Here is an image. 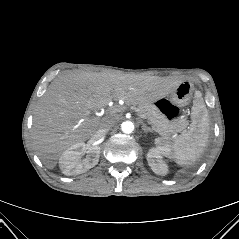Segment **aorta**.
Segmentation results:
<instances>
[{
	"mask_svg": "<svg viewBox=\"0 0 239 239\" xmlns=\"http://www.w3.org/2000/svg\"><path fill=\"white\" fill-rule=\"evenodd\" d=\"M134 123L131 121H125L121 124V130L125 134H130L134 131Z\"/></svg>",
	"mask_w": 239,
	"mask_h": 239,
	"instance_id": "1",
	"label": "aorta"
}]
</instances>
